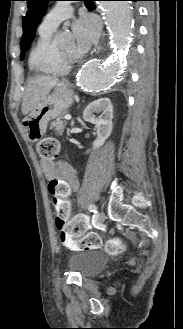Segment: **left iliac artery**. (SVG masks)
<instances>
[{"label": "left iliac artery", "mask_w": 183, "mask_h": 329, "mask_svg": "<svg viewBox=\"0 0 183 329\" xmlns=\"http://www.w3.org/2000/svg\"><path fill=\"white\" fill-rule=\"evenodd\" d=\"M88 210L93 213H97V207L93 204L89 205Z\"/></svg>", "instance_id": "left-iliac-artery-1"}]
</instances>
